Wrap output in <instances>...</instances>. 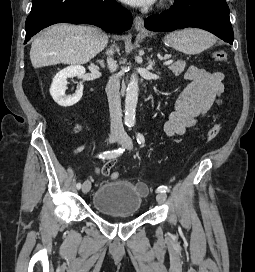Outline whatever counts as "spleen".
<instances>
[{
    "instance_id": "obj_1",
    "label": "spleen",
    "mask_w": 255,
    "mask_h": 272,
    "mask_svg": "<svg viewBox=\"0 0 255 272\" xmlns=\"http://www.w3.org/2000/svg\"><path fill=\"white\" fill-rule=\"evenodd\" d=\"M165 42L185 54H199L211 47L215 38L202 29L188 28L169 33Z\"/></svg>"
}]
</instances>
